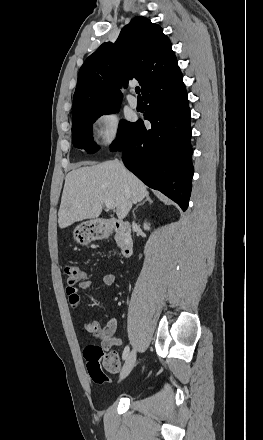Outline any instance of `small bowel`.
Segmentation results:
<instances>
[{
	"label": "small bowel",
	"mask_w": 263,
	"mask_h": 440,
	"mask_svg": "<svg viewBox=\"0 0 263 440\" xmlns=\"http://www.w3.org/2000/svg\"><path fill=\"white\" fill-rule=\"evenodd\" d=\"M102 283L106 286H111L116 281V276L113 273H107L102 276ZM94 281L91 279L84 280L78 286L67 287V294L69 296V303L72 308H77L80 304L79 289L89 290L93 287ZM117 329V320L110 318L105 326H101L97 320L86 321L83 324V331L88 335H93L100 341L101 346L105 350H110L121 345V340L115 336Z\"/></svg>",
	"instance_id": "small-bowel-1"
}]
</instances>
